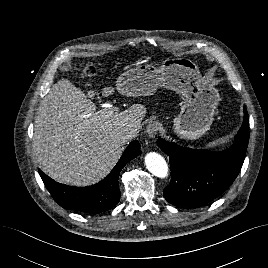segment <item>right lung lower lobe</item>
Instances as JSON below:
<instances>
[{
  "mask_svg": "<svg viewBox=\"0 0 268 268\" xmlns=\"http://www.w3.org/2000/svg\"><path fill=\"white\" fill-rule=\"evenodd\" d=\"M141 154L138 141H132L112 171L99 183L87 187H73L60 184L39 174L53 199L63 208L90 214H98L113 208L120 199L118 176L121 169Z\"/></svg>",
  "mask_w": 268,
  "mask_h": 268,
  "instance_id": "1",
  "label": "right lung lower lobe"
}]
</instances>
